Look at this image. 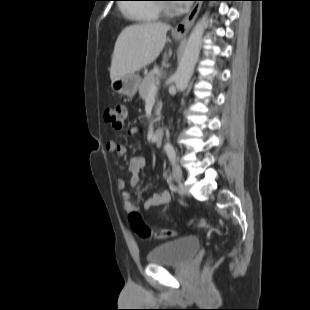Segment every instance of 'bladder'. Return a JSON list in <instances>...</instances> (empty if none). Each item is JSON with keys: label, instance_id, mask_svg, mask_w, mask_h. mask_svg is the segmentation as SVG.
<instances>
[{"label": "bladder", "instance_id": "1", "mask_svg": "<svg viewBox=\"0 0 310 310\" xmlns=\"http://www.w3.org/2000/svg\"><path fill=\"white\" fill-rule=\"evenodd\" d=\"M199 241L191 236L161 243L147 254L150 264L180 266L191 261L198 253Z\"/></svg>", "mask_w": 310, "mask_h": 310}]
</instances>
